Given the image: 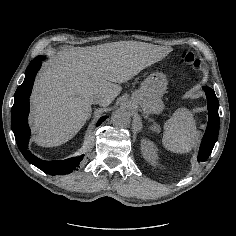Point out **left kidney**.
Listing matches in <instances>:
<instances>
[{
  "mask_svg": "<svg viewBox=\"0 0 236 236\" xmlns=\"http://www.w3.org/2000/svg\"><path fill=\"white\" fill-rule=\"evenodd\" d=\"M141 151L143 158L151 163L152 165L157 164L158 155H157V147L155 144L147 139L141 140Z\"/></svg>",
  "mask_w": 236,
  "mask_h": 236,
  "instance_id": "obj_1",
  "label": "left kidney"
}]
</instances>
